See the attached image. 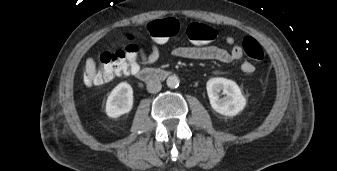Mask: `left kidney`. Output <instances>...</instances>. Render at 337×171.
<instances>
[{"label":"left kidney","instance_id":"1","mask_svg":"<svg viewBox=\"0 0 337 171\" xmlns=\"http://www.w3.org/2000/svg\"><path fill=\"white\" fill-rule=\"evenodd\" d=\"M207 94L211 107L218 113L225 116H235L246 106V99L236 82L222 78H211L206 84ZM223 91L226 95L219 98L218 93Z\"/></svg>","mask_w":337,"mask_h":171}]
</instances>
